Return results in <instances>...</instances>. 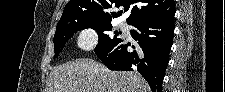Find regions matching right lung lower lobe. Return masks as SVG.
Instances as JSON below:
<instances>
[{
    "instance_id": "98d812e1",
    "label": "right lung lower lobe",
    "mask_w": 225,
    "mask_h": 92,
    "mask_svg": "<svg viewBox=\"0 0 225 92\" xmlns=\"http://www.w3.org/2000/svg\"><path fill=\"white\" fill-rule=\"evenodd\" d=\"M131 35L137 41L134 51L127 50L122 40L96 55L110 70L138 71L148 82L152 92H162V83L173 44L174 15L167 19L142 20L133 25Z\"/></svg>"
}]
</instances>
